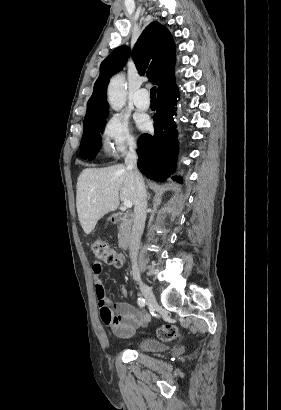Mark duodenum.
Segmentation results:
<instances>
[{
  "label": "duodenum",
  "instance_id": "410a0bca",
  "mask_svg": "<svg viewBox=\"0 0 281 410\" xmlns=\"http://www.w3.org/2000/svg\"><path fill=\"white\" fill-rule=\"evenodd\" d=\"M112 219L114 222H121L124 226V232L121 237V247L123 250H127L131 241V231L129 227L134 221V216L130 213L115 212Z\"/></svg>",
  "mask_w": 281,
  "mask_h": 410
}]
</instances>
